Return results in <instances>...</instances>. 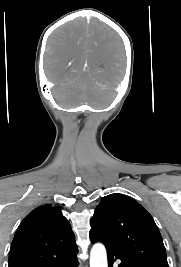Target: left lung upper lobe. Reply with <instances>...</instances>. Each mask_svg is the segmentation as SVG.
<instances>
[{
  "instance_id": "1",
  "label": "left lung upper lobe",
  "mask_w": 181,
  "mask_h": 267,
  "mask_svg": "<svg viewBox=\"0 0 181 267\" xmlns=\"http://www.w3.org/2000/svg\"><path fill=\"white\" fill-rule=\"evenodd\" d=\"M90 225L91 241H101L146 267H168L158 227L134 199L119 193L103 197Z\"/></svg>"
}]
</instances>
